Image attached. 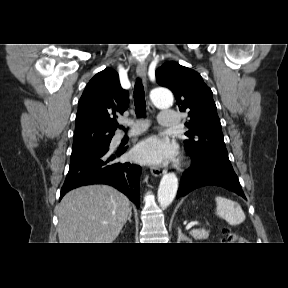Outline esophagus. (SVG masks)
<instances>
[{
  "mask_svg": "<svg viewBox=\"0 0 288 288\" xmlns=\"http://www.w3.org/2000/svg\"><path fill=\"white\" fill-rule=\"evenodd\" d=\"M136 72H137V75L142 79L144 86H146V82H147L146 64L145 63H139L137 65ZM148 109H149V111L154 112V107L150 101H148ZM150 171H151L152 175H154L155 177H160L164 173V170H162L161 168L156 167V166H152L150 168Z\"/></svg>",
  "mask_w": 288,
  "mask_h": 288,
  "instance_id": "obj_1",
  "label": "esophagus"
}]
</instances>
